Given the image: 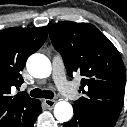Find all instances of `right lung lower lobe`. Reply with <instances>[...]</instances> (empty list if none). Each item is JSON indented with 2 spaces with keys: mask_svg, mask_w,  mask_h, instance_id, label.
Wrapping results in <instances>:
<instances>
[{
  "mask_svg": "<svg viewBox=\"0 0 127 127\" xmlns=\"http://www.w3.org/2000/svg\"><path fill=\"white\" fill-rule=\"evenodd\" d=\"M38 115L41 113V102L40 101H38ZM37 115V116H38ZM37 118V117H36ZM36 120V119H35ZM35 122V121H34ZM34 122L32 123V125L30 126V127H33V124H34Z\"/></svg>",
  "mask_w": 127,
  "mask_h": 127,
  "instance_id": "right-lung-lower-lobe-1",
  "label": "right lung lower lobe"
}]
</instances>
